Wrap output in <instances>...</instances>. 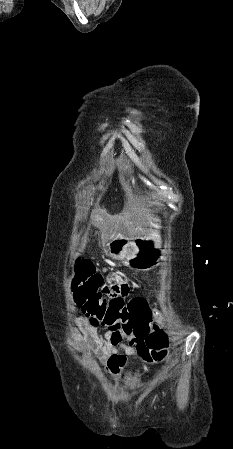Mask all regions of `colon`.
I'll use <instances>...</instances> for the list:
<instances>
[{
  "label": "colon",
  "mask_w": 233,
  "mask_h": 449,
  "mask_svg": "<svg viewBox=\"0 0 233 449\" xmlns=\"http://www.w3.org/2000/svg\"><path fill=\"white\" fill-rule=\"evenodd\" d=\"M104 282V276L91 261H77L73 278L75 303L90 316L93 328H121L122 334H137L138 349L152 348L164 353L167 337L158 330L153 331L152 311L146 310V301H122L121 296H115L114 302H107L106 293L101 290Z\"/></svg>",
  "instance_id": "5ec220e1"
}]
</instances>
